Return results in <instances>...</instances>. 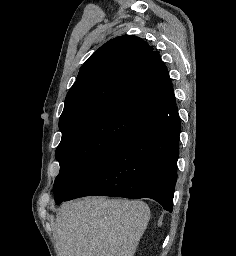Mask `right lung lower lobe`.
Returning a JSON list of instances; mask_svg holds the SVG:
<instances>
[{
    "mask_svg": "<svg viewBox=\"0 0 236 256\" xmlns=\"http://www.w3.org/2000/svg\"><path fill=\"white\" fill-rule=\"evenodd\" d=\"M180 132L175 105L145 122L62 201L89 195L151 198L171 212Z\"/></svg>",
    "mask_w": 236,
    "mask_h": 256,
    "instance_id": "98d812e1",
    "label": "right lung lower lobe"
}]
</instances>
